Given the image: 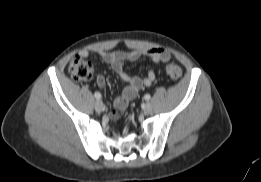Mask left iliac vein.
Listing matches in <instances>:
<instances>
[{"label":"left iliac vein","mask_w":261,"mask_h":182,"mask_svg":"<svg viewBox=\"0 0 261 182\" xmlns=\"http://www.w3.org/2000/svg\"><path fill=\"white\" fill-rule=\"evenodd\" d=\"M152 111H153L152 105L150 103H146L144 106V112L146 114H150L152 113Z\"/></svg>","instance_id":"1"}]
</instances>
